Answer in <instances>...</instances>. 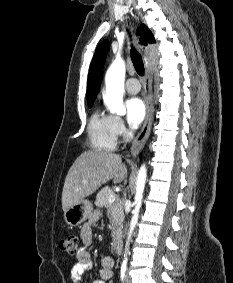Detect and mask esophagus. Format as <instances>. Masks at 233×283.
Listing matches in <instances>:
<instances>
[{
	"label": "esophagus",
	"mask_w": 233,
	"mask_h": 283,
	"mask_svg": "<svg viewBox=\"0 0 233 283\" xmlns=\"http://www.w3.org/2000/svg\"><path fill=\"white\" fill-rule=\"evenodd\" d=\"M144 102L146 105V115L143 126L134 139L131 146V155L135 156L143 147L149 137L152 122H153V103H152V72L149 67L146 68L144 78Z\"/></svg>",
	"instance_id": "1"
}]
</instances>
